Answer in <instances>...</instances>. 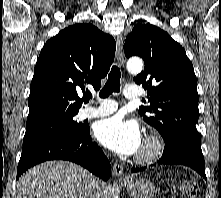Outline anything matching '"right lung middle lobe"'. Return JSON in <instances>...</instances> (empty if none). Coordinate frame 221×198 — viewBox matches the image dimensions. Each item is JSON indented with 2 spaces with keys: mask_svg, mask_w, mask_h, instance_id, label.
<instances>
[{
  "mask_svg": "<svg viewBox=\"0 0 221 198\" xmlns=\"http://www.w3.org/2000/svg\"><path fill=\"white\" fill-rule=\"evenodd\" d=\"M76 113L54 114L27 122L23 145L51 134H77L87 125L74 121Z\"/></svg>",
  "mask_w": 221,
  "mask_h": 198,
  "instance_id": "1",
  "label": "right lung middle lobe"
}]
</instances>
